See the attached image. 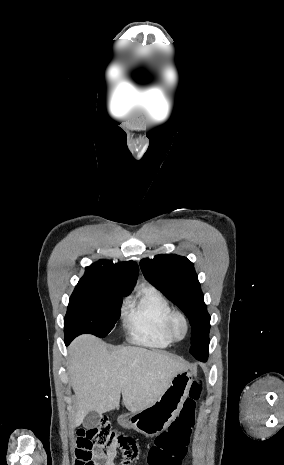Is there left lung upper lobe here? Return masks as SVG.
Instances as JSON below:
<instances>
[{
	"instance_id": "5c2ea615",
	"label": "left lung upper lobe",
	"mask_w": 284,
	"mask_h": 465,
	"mask_svg": "<svg viewBox=\"0 0 284 465\" xmlns=\"http://www.w3.org/2000/svg\"><path fill=\"white\" fill-rule=\"evenodd\" d=\"M145 278L176 304L189 318L190 353L198 360L208 357L210 315L193 263L186 257L160 254L140 262Z\"/></svg>"
}]
</instances>
